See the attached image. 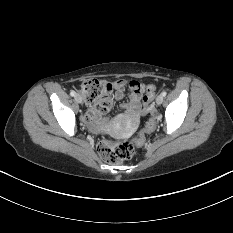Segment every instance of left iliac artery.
Returning a JSON list of instances; mask_svg holds the SVG:
<instances>
[{
	"label": "left iliac artery",
	"instance_id": "left-iliac-artery-1",
	"mask_svg": "<svg viewBox=\"0 0 233 233\" xmlns=\"http://www.w3.org/2000/svg\"><path fill=\"white\" fill-rule=\"evenodd\" d=\"M166 94H167V92H166V91H163V92H162V96H163V97H165V96H166Z\"/></svg>",
	"mask_w": 233,
	"mask_h": 233
}]
</instances>
